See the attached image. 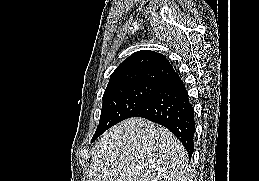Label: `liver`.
I'll return each instance as SVG.
<instances>
[{"instance_id": "1", "label": "liver", "mask_w": 259, "mask_h": 181, "mask_svg": "<svg viewBox=\"0 0 259 181\" xmlns=\"http://www.w3.org/2000/svg\"><path fill=\"white\" fill-rule=\"evenodd\" d=\"M92 154L89 181H188V156L165 127L130 118L104 132Z\"/></svg>"}]
</instances>
